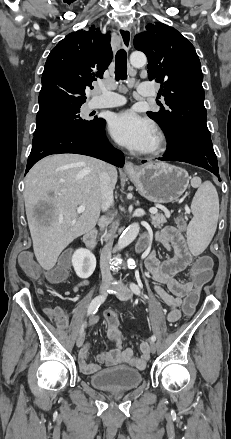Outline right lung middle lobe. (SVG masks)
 I'll use <instances>...</instances> for the list:
<instances>
[{"label": "right lung middle lobe", "instance_id": "obj_1", "mask_svg": "<svg viewBox=\"0 0 231 439\" xmlns=\"http://www.w3.org/2000/svg\"><path fill=\"white\" fill-rule=\"evenodd\" d=\"M79 113L80 108H75L36 119L37 123L34 136L57 129L86 131L99 125L100 119L83 120Z\"/></svg>", "mask_w": 231, "mask_h": 439}]
</instances>
